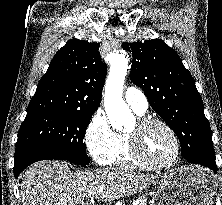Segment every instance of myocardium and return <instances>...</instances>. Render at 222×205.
Segmentation results:
<instances>
[{
    "label": "myocardium",
    "mask_w": 222,
    "mask_h": 205,
    "mask_svg": "<svg viewBox=\"0 0 222 205\" xmlns=\"http://www.w3.org/2000/svg\"><path fill=\"white\" fill-rule=\"evenodd\" d=\"M153 125H159L163 127L172 137L175 151L173 157L165 163H158L151 160L146 154L143 149L142 137L144 131ZM130 141L131 151L134 158L140 162L141 164L145 165L146 167L156 169V170H164L172 168L180 159L181 155V144L176 134L175 130L165 121L152 118V117H143L140 118L136 124L135 128L127 133Z\"/></svg>",
    "instance_id": "f54148a6"
}]
</instances>
